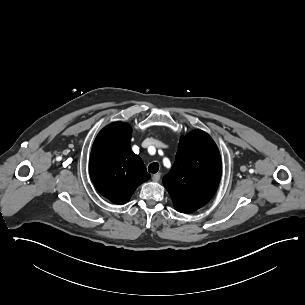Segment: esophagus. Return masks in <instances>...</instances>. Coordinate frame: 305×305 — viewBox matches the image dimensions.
Returning <instances> with one entry per match:
<instances>
[{
  "instance_id": "obj_1",
  "label": "esophagus",
  "mask_w": 305,
  "mask_h": 305,
  "mask_svg": "<svg viewBox=\"0 0 305 305\" xmlns=\"http://www.w3.org/2000/svg\"><path fill=\"white\" fill-rule=\"evenodd\" d=\"M160 177H161V173H156L152 176V180L154 182H158L160 180Z\"/></svg>"
}]
</instances>
